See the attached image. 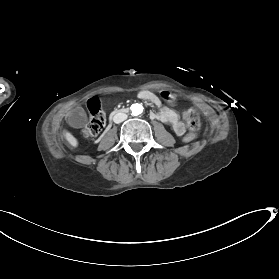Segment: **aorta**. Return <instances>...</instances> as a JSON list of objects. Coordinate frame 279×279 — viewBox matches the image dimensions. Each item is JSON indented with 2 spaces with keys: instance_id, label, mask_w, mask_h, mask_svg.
<instances>
[{
  "instance_id": "762f6f07",
  "label": "aorta",
  "mask_w": 279,
  "mask_h": 279,
  "mask_svg": "<svg viewBox=\"0 0 279 279\" xmlns=\"http://www.w3.org/2000/svg\"><path fill=\"white\" fill-rule=\"evenodd\" d=\"M131 110L133 115H139L143 112V106L141 104L136 103L131 106Z\"/></svg>"
}]
</instances>
